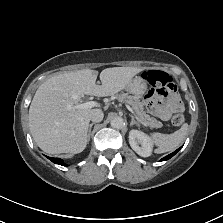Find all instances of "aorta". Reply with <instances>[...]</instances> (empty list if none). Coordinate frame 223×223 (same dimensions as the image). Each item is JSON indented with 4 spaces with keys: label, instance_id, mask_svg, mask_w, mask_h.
I'll use <instances>...</instances> for the list:
<instances>
[{
    "label": "aorta",
    "instance_id": "obj_1",
    "mask_svg": "<svg viewBox=\"0 0 223 223\" xmlns=\"http://www.w3.org/2000/svg\"><path fill=\"white\" fill-rule=\"evenodd\" d=\"M124 126V119L120 116L115 117L111 120V127L121 129Z\"/></svg>",
    "mask_w": 223,
    "mask_h": 223
}]
</instances>
